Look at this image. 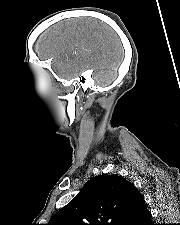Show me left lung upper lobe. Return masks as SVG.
<instances>
[{
    "mask_svg": "<svg viewBox=\"0 0 180 225\" xmlns=\"http://www.w3.org/2000/svg\"><path fill=\"white\" fill-rule=\"evenodd\" d=\"M137 188L118 175L91 178L47 225H124L145 207Z\"/></svg>",
    "mask_w": 180,
    "mask_h": 225,
    "instance_id": "1",
    "label": "left lung upper lobe"
}]
</instances>
